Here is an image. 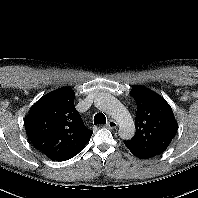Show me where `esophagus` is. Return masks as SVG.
<instances>
[{"instance_id": "esophagus-1", "label": "esophagus", "mask_w": 198, "mask_h": 198, "mask_svg": "<svg viewBox=\"0 0 198 198\" xmlns=\"http://www.w3.org/2000/svg\"><path fill=\"white\" fill-rule=\"evenodd\" d=\"M106 126H107L109 129H115V128L117 127V122L114 121V120H112V119H110V120L107 122Z\"/></svg>"}]
</instances>
